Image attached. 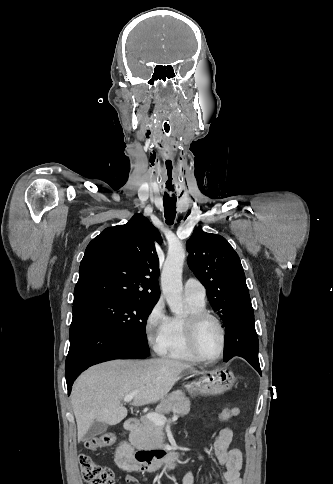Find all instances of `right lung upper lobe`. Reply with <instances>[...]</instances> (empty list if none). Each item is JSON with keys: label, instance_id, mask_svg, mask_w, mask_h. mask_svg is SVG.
I'll return each instance as SVG.
<instances>
[{"label": "right lung upper lobe", "instance_id": "1", "mask_svg": "<svg viewBox=\"0 0 333 484\" xmlns=\"http://www.w3.org/2000/svg\"><path fill=\"white\" fill-rule=\"evenodd\" d=\"M156 242L159 232L141 214L104 229L85 250L73 304L94 295L157 301Z\"/></svg>", "mask_w": 333, "mask_h": 484}]
</instances>
